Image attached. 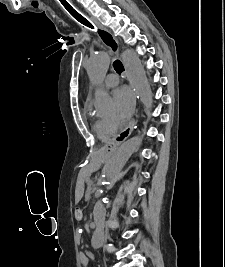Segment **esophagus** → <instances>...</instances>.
Returning a JSON list of instances; mask_svg holds the SVG:
<instances>
[{
	"mask_svg": "<svg viewBox=\"0 0 225 267\" xmlns=\"http://www.w3.org/2000/svg\"><path fill=\"white\" fill-rule=\"evenodd\" d=\"M94 22L100 28L101 33L102 32H106L108 34V37L106 38V40L104 41L102 39V41L105 43V45L110 49V51L112 53H114L117 57H120V54H119V45H118V42L115 39V37L111 34L110 31H108L106 28L102 27L97 21H94ZM99 34H100V32H99ZM134 98H135V102H136V100H137L136 93H134ZM136 112H137V110H136ZM135 124H136V119L135 118H132L131 121L129 122L128 126L124 130H122L118 136H116L114 139H112L110 142H108L105 145V147H104L105 151L108 154L113 153L116 150V148L124 140H126L127 137L131 134V132L134 129Z\"/></svg>",
	"mask_w": 225,
	"mask_h": 267,
	"instance_id": "obj_1",
	"label": "esophagus"
}]
</instances>
